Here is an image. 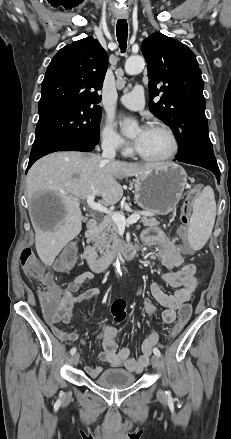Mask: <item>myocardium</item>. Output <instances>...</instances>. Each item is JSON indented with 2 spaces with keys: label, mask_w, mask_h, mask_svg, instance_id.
Returning <instances> with one entry per match:
<instances>
[{
  "label": "myocardium",
  "mask_w": 231,
  "mask_h": 439,
  "mask_svg": "<svg viewBox=\"0 0 231 439\" xmlns=\"http://www.w3.org/2000/svg\"><path fill=\"white\" fill-rule=\"evenodd\" d=\"M149 128L159 129L167 134V136L170 139V143H171L170 150L166 154H164L162 156H158V157L144 155V154L140 153L137 149H135V154L139 158H141L145 161H149V162H165V161H168V160L174 158L179 151V141H178V138H177L176 134L174 133V131L168 125L163 124V123H153L150 125Z\"/></svg>",
  "instance_id": "f54148a6"
}]
</instances>
